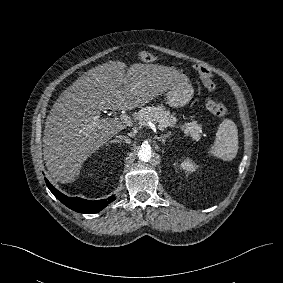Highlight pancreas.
<instances>
[{
	"label": "pancreas",
	"instance_id": "pancreas-1",
	"mask_svg": "<svg viewBox=\"0 0 283 283\" xmlns=\"http://www.w3.org/2000/svg\"><path fill=\"white\" fill-rule=\"evenodd\" d=\"M137 122L139 125H146L147 121H152L158 123L160 126L167 127H175L178 119L171 114L169 110H166L164 106H147L141 108L136 116ZM180 129L184 131L186 135H189L194 140H198L200 138V134L202 133L201 125L198 124L197 121H190L179 124Z\"/></svg>",
	"mask_w": 283,
	"mask_h": 283
}]
</instances>
